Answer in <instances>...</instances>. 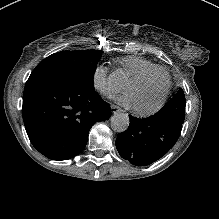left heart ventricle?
<instances>
[{
	"label": "left heart ventricle",
	"mask_w": 219,
	"mask_h": 219,
	"mask_svg": "<svg viewBox=\"0 0 219 219\" xmlns=\"http://www.w3.org/2000/svg\"><path fill=\"white\" fill-rule=\"evenodd\" d=\"M166 81L167 77L164 73L148 78L136 92L137 102L141 105H149L157 101L162 95Z\"/></svg>",
	"instance_id": "obj_1"
}]
</instances>
